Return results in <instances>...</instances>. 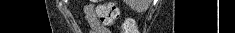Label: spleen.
Segmentation results:
<instances>
[{
	"label": "spleen",
	"mask_w": 235,
	"mask_h": 33,
	"mask_svg": "<svg viewBox=\"0 0 235 33\" xmlns=\"http://www.w3.org/2000/svg\"><path fill=\"white\" fill-rule=\"evenodd\" d=\"M140 7H142V8H146V7H147V5H143V6L141 5Z\"/></svg>",
	"instance_id": "obj_1"
}]
</instances>
